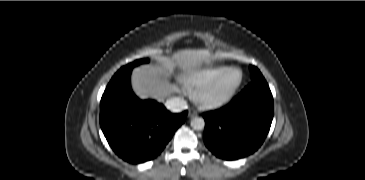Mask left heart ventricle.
Returning a JSON list of instances; mask_svg holds the SVG:
<instances>
[{"instance_id": "b2bd125f", "label": "left heart ventricle", "mask_w": 365, "mask_h": 180, "mask_svg": "<svg viewBox=\"0 0 365 180\" xmlns=\"http://www.w3.org/2000/svg\"><path fill=\"white\" fill-rule=\"evenodd\" d=\"M239 73L231 71L222 76L211 88L210 97H220L228 93L238 82Z\"/></svg>"}]
</instances>
